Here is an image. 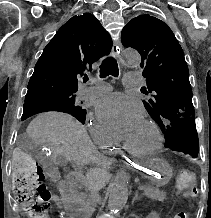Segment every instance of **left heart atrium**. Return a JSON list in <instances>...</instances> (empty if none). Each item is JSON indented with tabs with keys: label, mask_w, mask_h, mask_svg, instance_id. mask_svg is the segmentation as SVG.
<instances>
[{
	"label": "left heart atrium",
	"mask_w": 211,
	"mask_h": 218,
	"mask_svg": "<svg viewBox=\"0 0 211 218\" xmlns=\"http://www.w3.org/2000/svg\"><path fill=\"white\" fill-rule=\"evenodd\" d=\"M96 115L108 133L122 140L145 123L141 102L135 96L124 93H113L100 100Z\"/></svg>",
	"instance_id": "39dd6f15"
}]
</instances>
